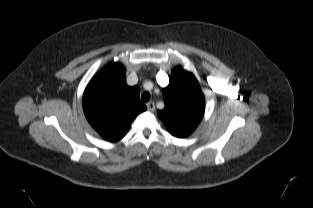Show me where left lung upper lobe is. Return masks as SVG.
<instances>
[{
    "label": "left lung upper lobe",
    "instance_id": "5c2ea615",
    "mask_svg": "<svg viewBox=\"0 0 313 208\" xmlns=\"http://www.w3.org/2000/svg\"><path fill=\"white\" fill-rule=\"evenodd\" d=\"M165 108L158 116L175 137H188L197 127L205 110V98L192 73L181 66L171 74L163 91Z\"/></svg>",
    "mask_w": 313,
    "mask_h": 208
}]
</instances>
